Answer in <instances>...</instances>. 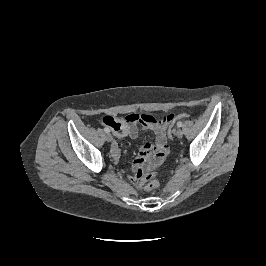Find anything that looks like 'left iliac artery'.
<instances>
[{"instance_id": "44dca946", "label": "left iliac artery", "mask_w": 266, "mask_h": 266, "mask_svg": "<svg viewBox=\"0 0 266 266\" xmlns=\"http://www.w3.org/2000/svg\"><path fill=\"white\" fill-rule=\"evenodd\" d=\"M177 126H178V127H182V122L179 121V122L177 123Z\"/></svg>"}]
</instances>
